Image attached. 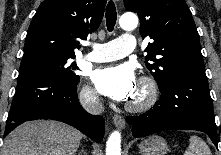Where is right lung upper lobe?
<instances>
[{"label":"right lung upper lobe","instance_id":"right-lung-upper-lobe-1","mask_svg":"<svg viewBox=\"0 0 221 155\" xmlns=\"http://www.w3.org/2000/svg\"><path fill=\"white\" fill-rule=\"evenodd\" d=\"M107 0H44L29 26L24 56L50 53L75 57L78 39L85 40L101 23Z\"/></svg>","mask_w":221,"mask_h":155}]
</instances>
